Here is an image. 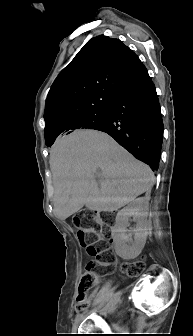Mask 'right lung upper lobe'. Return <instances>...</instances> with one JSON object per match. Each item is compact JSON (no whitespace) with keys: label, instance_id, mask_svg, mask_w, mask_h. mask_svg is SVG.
I'll list each match as a JSON object with an SVG mask.
<instances>
[{"label":"right lung upper lobe","instance_id":"cb5924a9","mask_svg":"<svg viewBox=\"0 0 193 336\" xmlns=\"http://www.w3.org/2000/svg\"><path fill=\"white\" fill-rule=\"evenodd\" d=\"M140 64L138 56L118 39L101 35L88 41L48 93L45 140L72 133L81 115L109 108Z\"/></svg>","mask_w":193,"mask_h":336}]
</instances>
